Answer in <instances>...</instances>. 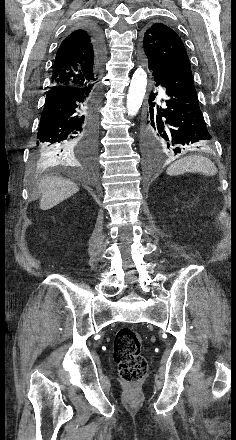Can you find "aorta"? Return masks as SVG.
<instances>
[{
	"label": "aorta",
	"instance_id": "aorta-1",
	"mask_svg": "<svg viewBox=\"0 0 236 440\" xmlns=\"http://www.w3.org/2000/svg\"><path fill=\"white\" fill-rule=\"evenodd\" d=\"M146 87H147V74L146 72L141 68H137L134 72L128 94H127V112L128 116H136L139 109L142 106L143 99L146 93Z\"/></svg>",
	"mask_w": 236,
	"mask_h": 440
}]
</instances>
